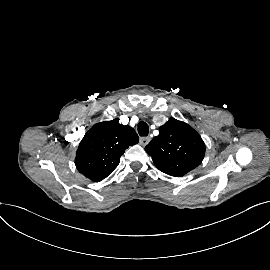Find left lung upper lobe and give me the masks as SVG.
Returning <instances> with one entry per match:
<instances>
[{"mask_svg": "<svg viewBox=\"0 0 270 270\" xmlns=\"http://www.w3.org/2000/svg\"><path fill=\"white\" fill-rule=\"evenodd\" d=\"M145 150L160 171L180 177L201 164L205 144L187 123L170 118Z\"/></svg>", "mask_w": 270, "mask_h": 270, "instance_id": "left-lung-upper-lobe-1", "label": "left lung upper lobe"}]
</instances>
